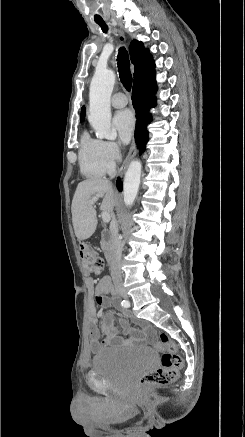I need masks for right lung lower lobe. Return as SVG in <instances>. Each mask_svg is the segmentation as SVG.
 I'll use <instances>...</instances> for the list:
<instances>
[{"label":"right lung lower lobe","mask_w":245,"mask_h":437,"mask_svg":"<svg viewBox=\"0 0 245 437\" xmlns=\"http://www.w3.org/2000/svg\"><path fill=\"white\" fill-rule=\"evenodd\" d=\"M157 91L156 80L133 85L132 104L136 111V128L135 140L138 145L139 154L145 150L146 143L149 139L147 124L152 121L151 114L148 110L155 106L156 99L150 96ZM117 188L122 190V182L117 181Z\"/></svg>","instance_id":"obj_1"}]
</instances>
